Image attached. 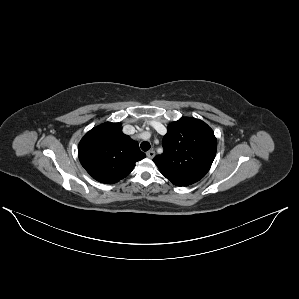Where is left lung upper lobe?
<instances>
[{"label":"left lung upper lobe","mask_w":299,"mask_h":299,"mask_svg":"<svg viewBox=\"0 0 299 299\" xmlns=\"http://www.w3.org/2000/svg\"><path fill=\"white\" fill-rule=\"evenodd\" d=\"M164 152L153 161L174 185L188 186L209 171L216 155L213 130L202 120L183 117L168 125Z\"/></svg>","instance_id":"1"}]
</instances>
